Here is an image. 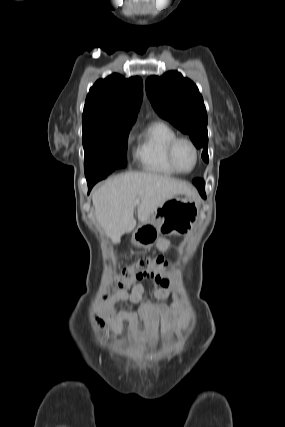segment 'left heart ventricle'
<instances>
[{
    "label": "left heart ventricle",
    "mask_w": 285,
    "mask_h": 427,
    "mask_svg": "<svg viewBox=\"0 0 285 427\" xmlns=\"http://www.w3.org/2000/svg\"><path fill=\"white\" fill-rule=\"evenodd\" d=\"M175 162L182 171H189L195 161L194 151L186 142H180L175 149Z\"/></svg>",
    "instance_id": "b2bd125f"
}]
</instances>
